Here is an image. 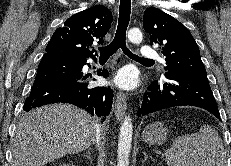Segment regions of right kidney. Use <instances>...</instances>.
I'll use <instances>...</instances> for the list:
<instances>
[{"instance_id": "obj_1", "label": "right kidney", "mask_w": 231, "mask_h": 166, "mask_svg": "<svg viewBox=\"0 0 231 166\" xmlns=\"http://www.w3.org/2000/svg\"><path fill=\"white\" fill-rule=\"evenodd\" d=\"M59 166H75V165H73V164H62V165H59Z\"/></svg>"}]
</instances>
